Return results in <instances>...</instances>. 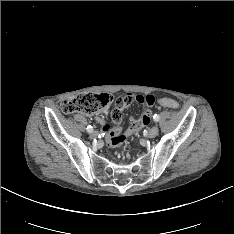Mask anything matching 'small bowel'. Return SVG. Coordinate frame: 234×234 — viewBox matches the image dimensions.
<instances>
[{
  "label": "small bowel",
  "instance_id": "obj_1",
  "mask_svg": "<svg viewBox=\"0 0 234 234\" xmlns=\"http://www.w3.org/2000/svg\"><path fill=\"white\" fill-rule=\"evenodd\" d=\"M131 103H140L146 107H151L155 103V98L150 95L142 96L136 93H128L121 95L115 101V110L113 111V125L103 123L104 131L106 132V144L111 147H116L122 144L127 135L132 133L139 134L140 129L146 126L150 122L152 111L149 108H145L142 116L138 120L130 118V126L124 135H121V113L124 108H127ZM102 122L101 119H99Z\"/></svg>",
  "mask_w": 234,
  "mask_h": 234
}]
</instances>
